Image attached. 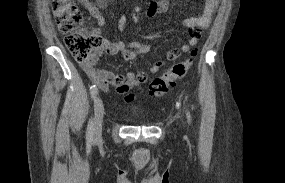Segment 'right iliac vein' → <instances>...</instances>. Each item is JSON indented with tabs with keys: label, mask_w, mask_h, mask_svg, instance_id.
Wrapping results in <instances>:
<instances>
[{
	"label": "right iliac vein",
	"mask_w": 285,
	"mask_h": 183,
	"mask_svg": "<svg viewBox=\"0 0 285 183\" xmlns=\"http://www.w3.org/2000/svg\"><path fill=\"white\" fill-rule=\"evenodd\" d=\"M94 114V137L98 138L101 135L104 116V105L99 97H96L94 101Z\"/></svg>",
	"instance_id": "right-iliac-vein-1"
}]
</instances>
